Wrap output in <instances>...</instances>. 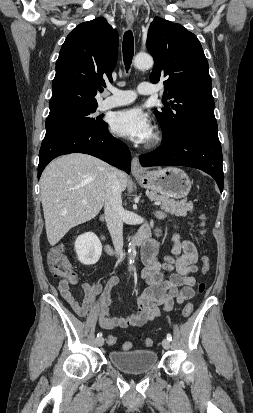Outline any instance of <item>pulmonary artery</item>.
<instances>
[{"mask_svg":"<svg viewBox=\"0 0 253 413\" xmlns=\"http://www.w3.org/2000/svg\"><path fill=\"white\" fill-rule=\"evenodd\" d=\"M137 92L142 95H154L155 87L148 82H141L138 85ZM137 93L133 90H121L117 88H108L106 97L99 105L100 110H107L121 105H126L136 99Z\"/></svg>","mask_w":253,"mask_h":413,"instance_id":"pulmonary-artery-1","label":"pulmonary artery"}]
</instances>
